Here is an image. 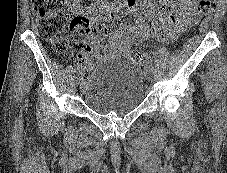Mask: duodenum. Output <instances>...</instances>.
Returning a JSON list of instances; mask_svg holds the SVG:
<instances>
[{
  "instance_id": "1",
  "label": "duodenum",
  "mask_w": 227,
  "mask_h": 173,
  "mask_svg": "<svg viewBox=\"0 0 227 173\" xmlns=\"http://www.w3.org/2000/svg\"><path fill=\"white\" fill-rule=\"evenodd\" d=\"M132 0H120V2L103 5L101 12L105 19H112L120 14L131 4Z\"/></svg>"
}]
</instances>
